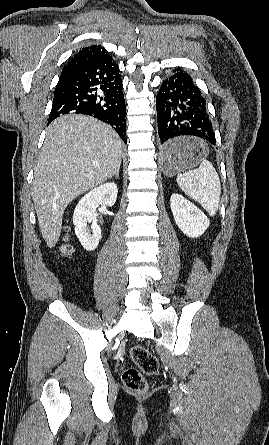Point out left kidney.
Listing matches in <instances>:
<instances>
[{"label":"left kidney","mask_w":269,"mask_h":445,"mask_svg":"<svg viewBox=\"0 0 269 445\" xmlns=\"http://www.w3.org/2000/svg\"><path fill=\"white\" fill-rule=\"evenodd\" d=\"M171 211L180 230L191 238L201 236L209 227L207 216L180 194H172Z\"/></svg>","instance_id":"1"}]
</instances>
